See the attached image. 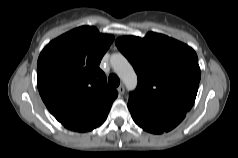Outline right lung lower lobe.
<instances>
[{"label":"right lung lower lobe","instance_id":"98d812e1","mask_svg":"<svg viewBox=\"0 0 238 158\" xmlns=\"http://www.w3.org/2000/svg\"><path fill=\"white\" fill-rule=\"evenodd\" d=\"M110 109L95 110L64 116H55L66 128L73 131L85 132L100 126L107 118Z\"/></svg>","mask_w":238,"mask_h":158}]
</instances>
